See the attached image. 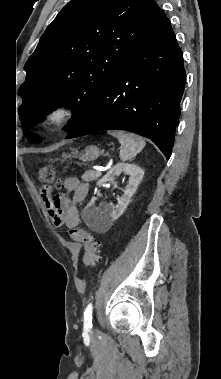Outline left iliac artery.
<instances>
[{
    "mask_svg": "<svg viewBox=\"0 0 221 379\" xmlns=\"http://www.w3.org/2000/svg\"><path fill=\"white\" fill-rule=\"evenodd\" d=\"M92 311H93V305L90 303L84 313V324L86 327H91L92 326Z\"/></svg>",
    "mask_w": 221,
    "mask_h": 379,
    "instance_id": "obj_1",
    "label": "left iliac artery"
}]
</instances>
